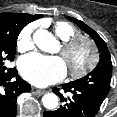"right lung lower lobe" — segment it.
I'll return each mask as SVG.
<instances>
[{
  "instance_id": "right-lung-lower-lobe-1",
  "label": "right lung lower lobe",
  "mask_w": 117,
  "mask_h": 117,
  "mask_svg": "<svg viewBox=\"0 0 117 117\" xmlns=\"http://www.w3.org/2000/svg\"><path fill=\"white\" fill-rule=\"evenodd\" d=\"M16 77V80H10ZM0 117H15L17 112L16 98L18 94L30 91L31 86L17 75L16 68L0 73Z\"/></svg>"
}]
</instances>
